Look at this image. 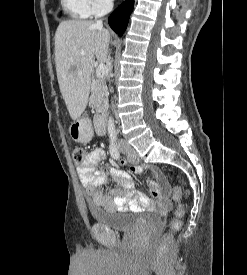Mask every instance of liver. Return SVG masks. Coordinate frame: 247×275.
Masks as SVG:
<instances>
[{"mask_svg": "<svg viewBox=\"0 0 247 275\" xmlns=\"http://www.w3.org/2000/svg\"><path fill=\"white\" fill-rule=\"evenodd\" d=\"M110 38L107 29L91 21H62L56 30L57 79L73 120H77L86 108L95 58L100 64L107 63Z\"/></svg>", "mask_w": 247, "mask_h": 275, "instance_id": "obj_1", "label": "liver"}]
</instances>
